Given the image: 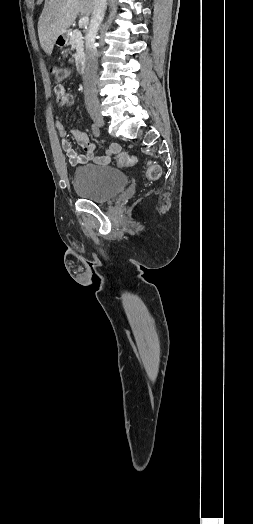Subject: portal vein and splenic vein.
Segmentation results:
<instances>
[{
  "label": "portal vein and splenic vein",
  "instance_id": "1",
  "mask_svg": "<svg viewBox=\"0 0 253 524\" xmlns=\"http://www.w3.org/2000/svg\"><path fill=\"white\" fill-rule=\"evenodd\" d=\"M88 21H89V17L88 16L81 17L80 20H79V26L87 25Z\"/></svg>",
  "mask_w": 253,
  "mask_h": 524
}]
</instances>
